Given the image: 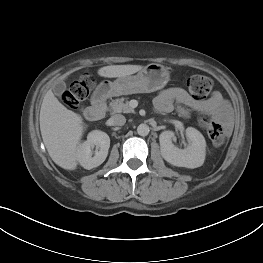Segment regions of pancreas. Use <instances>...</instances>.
<instances>
[{"label":"pancreas","mask_w":263,"mask_h":263,"mask_svg":"<svg viewBox=\"0 0 263 263\" xmlns=\"http://www.w3.org/2000/svg\"><path fill=\"white\" fill-rule=\"evenodd\" d=\"M108 110L114 113H134V109L129 106V102L125 98H117L109 104Z\"/></svg>","instance_id":"pancreas-1"}]
</instances>
